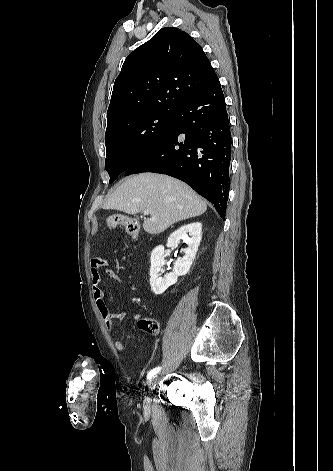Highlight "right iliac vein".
Instances as JSON below:
<instances>
[{
  "instance_id": "right-iliac-vein-1",
  "label": "right iliac vein",
  "mask_w": 333,
  "mask_h": 471,
  "mask_svg": "<svg viewBox=\"0 0 333 471\" xmlns=\"http://www.w3.org/2000/svg\"><path fill=\"white\" fill-rule=\"evenodd\" d=\"M155 381H156V376L149 379L148 385H147V390L149 392L152 390ZM150 402H151L150 397H146L144 403L147 408L150 407Z\"/></svg>"
}]
</instances>
